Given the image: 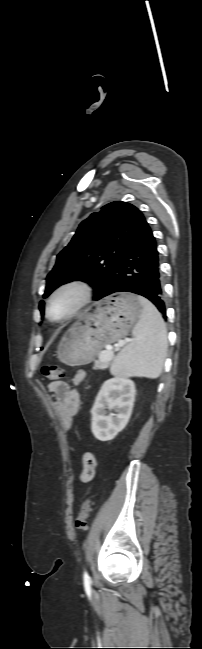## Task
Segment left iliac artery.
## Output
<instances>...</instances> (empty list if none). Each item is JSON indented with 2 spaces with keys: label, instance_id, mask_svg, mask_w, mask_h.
<instances>
[{
  "label": "left iliac artery",
  "instance_id": "1",
  "mask_svg": "<svg viewBox=\"0 0 202 649\" xmlns=\"http://www.w3.org/2000/svg\"><path fill=\"white\" fill-rule=\"evenodd\" d=\"M83 580H84V587H85L86 591H90V589H91L90 588V577H89V575H88V573L86 571L84 572Z\"/></svg>",
  "mask_w": 202,
  "mask_h": 649
}]
</instances>
